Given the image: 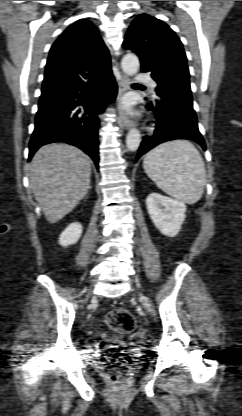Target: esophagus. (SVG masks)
<instances>
[{
    "label": "esophagus",
    "mask_w": 242,
    "mask_h": 416,
    "mask_svg": "<svg viewBox=\"0 0 242 416\" xmlns=\"http://www.w3.org/2000/svg\"><path fill=\"white\" fill-rule=\"evenodd\" d=\"M130 80L127 76L123 75L119 82L117 99L120 101L123 94L128 90ZM119 119L125 129H130L133 125L132 120L122 111L119 112Z\"/></svg>",
    "instance_id": "esophagus-1"
}]
</instances>
